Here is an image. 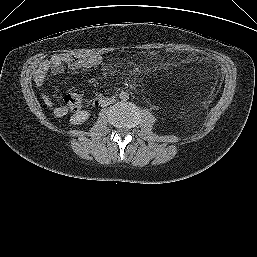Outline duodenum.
<instances>
[{"instance_id": "410a0bca", "label": "duodenum", "mask_w": 257, "mask_h": 257, "mask_svg": "<svg viewBox=\"0 0 257 257\" xmlns=\"http://www.w3.org/2000/svg\"><path fill=\"white\" fill-rule=\"evenodd\" d=\"M108 100V98L104 97V96H99L98 98H96V100L94 101V105L99 106L103 103H105Z\"/></svg>"}]
</instances>
